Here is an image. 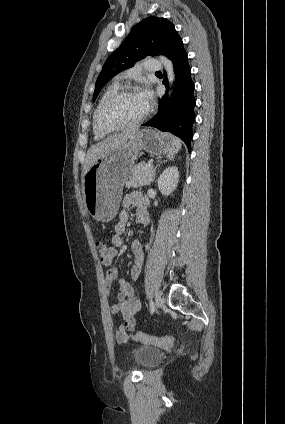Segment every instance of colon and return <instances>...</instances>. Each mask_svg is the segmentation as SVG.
Returning a JSON list of instances; mask_svg holds the SVG:
<instances>
[{"label": "colon", "instance_id": "obj_1", "mask_svg": "<svg viewBox=\"0 0 285 424\" xmlns=\"http://www.w3.org/2000/svg\"><path fill=\"white\" fill-rule=\"evenodd\" d=\"M96 247L101 263L104 265H110L115 257V249L104 242H98ZM134 339L139 342L167 346L169 344H173L176 340V337L174 335H169L166 337H153L142 332H136L134 334Z\"/></svg>", "mask_w": 285, "mask_h": 424}]
</instances>
